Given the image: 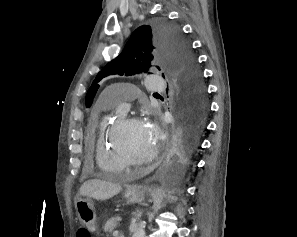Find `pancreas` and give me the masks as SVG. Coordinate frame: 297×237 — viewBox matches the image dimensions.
<instances>
[{"label": "pancreas", "mask_w": 297, "mask_h": 237, "mask_svg": "<svg viewBox=\"0 0 297 237\" xmlns=\"http://www.w3.org/2000/svg\"><path fill=\"white\" fill-rule=\"evenodd\" d=\"M119 218L117 217H113L111 219H109L106 224L104 225V232L106 233H112V231L114 230V228H116L117 224H118Z\"/></svg>", "instance_id": "1"}]
</instances>
